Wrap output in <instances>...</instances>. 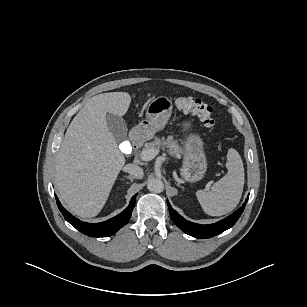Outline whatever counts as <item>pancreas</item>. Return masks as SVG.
<instances>
[{
	"label": "pancreas",
	"mask_w": 307,
	"mask_h": 307,
	"mask_svg": "<svg viewBox=\"0 0 307 307\" xmlns=\"http://www.w3.org/2000/svg\"><path fill=\"white\" fill-rule=\"evenodd\" d=\"M160 148H167V153L171 156L180 158L184 154L183 148L180 147L177 140H174L172 136H168L166 139L164 137H155L154 140L150 143H146L144 150L146 149H155L159 150Z\"/></svg>",
	"instance_id": "obj_1"
}]
</instances>
